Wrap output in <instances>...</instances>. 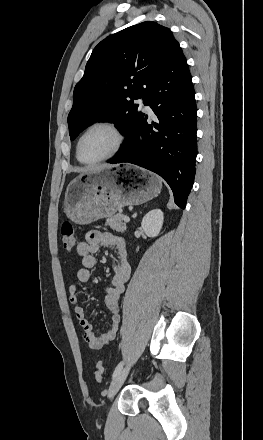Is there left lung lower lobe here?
Here are the masks:
<instances>
[{
    "label": "left lung lower lobe",
    "mask_w": 263,
    "mask_h": 440,
    "mask_svg": "<svg viewBox=\"0 0 263 440\" xmlns=\"http://www.w3.org/2000/svg\"><path fill=\"white\" fill-rule=\"evenodd\" d=\"M144 104L158 120L149 124L142 112L108 163L128 162L157 173L184 209L195 176L197 114L191 74L178 42L146 91Z\"/></svg>",
    "instance_id": "0a47b994"
}]
</instances>
